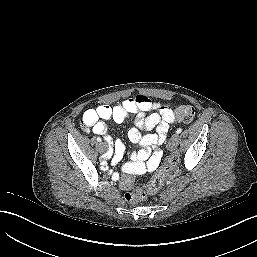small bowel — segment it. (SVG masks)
Masks as SVG:
<instances>
[{
    "mask_svg": "<svg viewBox=\"0 0 257 257\" xmlns=\"http://www.w3.org/2000/svg\"><path fill=\"white\" fill-rule=\"evenodd\" d=\"M129 116H134V127L128 131V139L137 144L139 150L133 154V162L125 169L131 173L153 171L162 158V151L156 147L165 141L169 127L176 122L175 114L168 104L153 102L144 95H136L115 106L101 104L88 109L83 114L81 125L87 132L91 131L104 136L110 148L108 157L111 163L116 165L123 159L125 147L122 142L114 141L108 135L109 127L106 121L113 120L121 123ZM153 129L156 130L155 133H142L143 130ZM115 178H117L116 175ZM124 187L128 186L124 185Z\"/></svg>",
    "mask_w": 257,
    "mask_h": 257,
    "instance_id": "1",
    "label": "small bowel"
}]
</instances>
